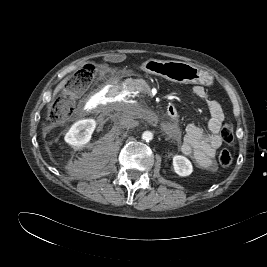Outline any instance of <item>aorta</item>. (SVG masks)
<instances>
[{"label":"aorta","mask_w":267,"mask_h":267,"mask_svg":"<svg viewBox=\"0 0 267 267\" xmlns=\"http://www.w3.org/2000/svg\"><path fill=\"white\" fill-rule=\"evenodd\" d=\"M142 139L149 142L153 139V133L150 131H145L142 134Z\"/></svg>","instance_id":"obj_1"}]
</instances>
